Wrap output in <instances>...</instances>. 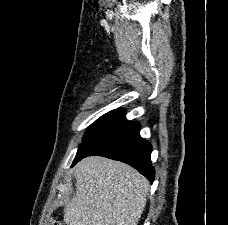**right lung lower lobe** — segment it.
I'll return each instance as SVG.
<instances>
[{"label": "right lung lower lobe", "mask_w": 228, "mask_h": 225, "mask_svg": "<svg viewBox=\"0 0 228 225\" xmlns=\"http://www.w3.org/2000/svg\"><path fill=\"white\" fill-rule=\"evenodd\" d=\"M124 115L121 110L92 131L80 145L72 166L87 156H104L133 166L153 183L152 147L140 137V124L127 121Z\"/></svg>", "instance_id": "98d812e1"}]
</instances>
